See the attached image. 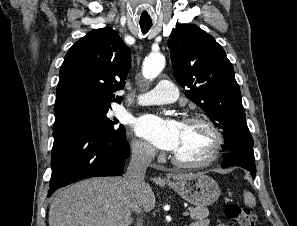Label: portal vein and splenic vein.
<instances>
[{
  "label": "portal vein and splenic vein",
  "mask_w": 297,
  "mask_h": 226,
  "mask_svg": "<svg viewBox=\"0 0 297 226\" xmlns=\"http://www.w3.org/2000/svg\"><path fill=\"white\" fill-rule=\"evenodd\" d=\"M188 215H189L188 211L183 212V216H188Z\"/></svg>",
  "instance_id": "18ae733b"
}]
</instances>
